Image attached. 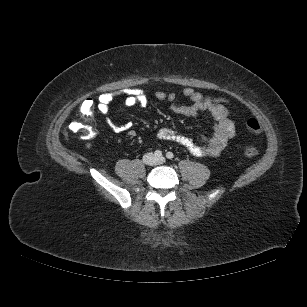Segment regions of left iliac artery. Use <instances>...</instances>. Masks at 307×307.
I'll return each instance as SVG.
<instances>
[{"instance_id": "1", "label": "left iliac artery", "mask_w": 307, "mask_h": 307, "mask_svg": "<svg viewBox=\"0 0 307 307\" xmlns=\"http://www.w3.org/2000/svg\"><path fill=\"white\" fill-rule=\"evenodd\" d=\"M166 157L171 160L174 158V154L172 152H167Z\"/></svg>"}]
</instances>
